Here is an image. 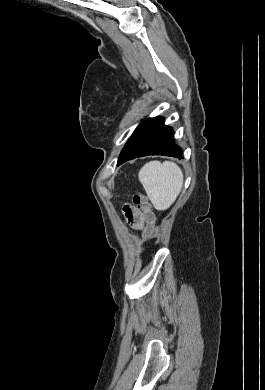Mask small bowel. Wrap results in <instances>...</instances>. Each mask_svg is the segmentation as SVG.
Here are the masks:
<instances>
[{
    "mask_svg": "<svg viewBox=\"0 0 265 390\" xmlns=\"http://www.w3.org/2000/svg\"><path fill=\"white\" fill-rule=\"evenodd\" d=\"M125 217L132 227L143 230L145 228V219L143 213L130 205L124 207Z\"/></svg>",
    "mask_w": 265,
    "mask_h": 390,
    "instance_id": "c3829d8e",
    "label": "small bowel"
}]
</instances>
